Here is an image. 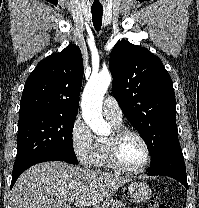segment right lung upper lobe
I'll use <instances>...</instances> for the list:
<instances>
[{"instance_id":"1","label":"right lung upper lobe","mask_w":199,"mask_h":208,"mask_svg":"<svg viewBox=\"0 0 199 208\" xmlns=\"http://www.w3.org/2000/svg\"><path fill=\"white\" fill-rule=\"evenodd\" d=\"M82 77L83 59L74 44L41 60L26 80L20 113L77 114Z\"/></svg>"}]
</instances>
